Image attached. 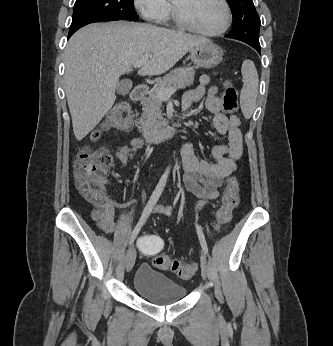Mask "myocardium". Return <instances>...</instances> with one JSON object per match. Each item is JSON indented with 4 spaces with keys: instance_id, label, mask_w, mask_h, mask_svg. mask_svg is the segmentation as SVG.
Segmentation results:
<instances>
[{
    "instance_id": "obj_1",
    "label": "myocardium",
    "mask_w": 333,
    "mask_h": 346,
    "mask_svg": "<svg viewBox=\"0 0 333 346\" xmlns=\"http://www.w3.org/2000/svg\"><path fill=\"white\" fill-rule=\"evenodd\" d=\"M220 2L222 3V5L225 9V21L219 29L208 31V30H203V29L196 27L191 22H189L185 17H183V15L181 14V12L177 8V6L172 2L174 20L180 27H182L188 31H191L193 33L199 34V35L209 36V37L222 35L231 26L232 9H231V6H230L228 0H220Z\"/></svg>"
}]
</instances>
